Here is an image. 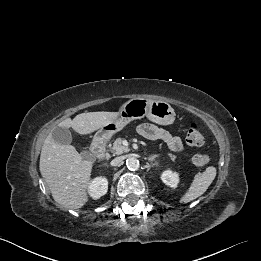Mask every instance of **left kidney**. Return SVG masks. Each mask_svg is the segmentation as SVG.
I'll return each instance as SVG.
<instances>
[{
  "label": "left kidney",
  "instance_id": "1",
  "mask_svg": "<svg viewBox=\"0 0 261 261\" xmlns=\"http://www.w3.org/2000/svg\"><path fill=\"white\" fill-rule=\"evenodd\" d=\"M161 180L172 188H176L179 183V175L176 172L166 170L161 175Z\"/></svg>",
  "mask_w": 261,
  "mask_h": 261
}]
</instances>
